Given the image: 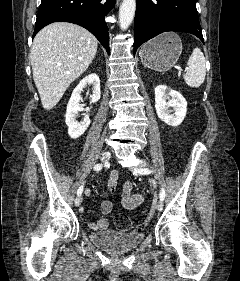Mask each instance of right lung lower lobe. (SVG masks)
Returning <instances> with one entry per match:
<instances>
[{
  "label": "right lung lower lobe",
  "mask_w": 240,
  "mask_h": 281,
  "mask_svg": "<svg viewBox=\"0 0 240 281\" xmlns=\"http://www.w3.org/2000/svg\"><path fill=\"white\" fill-rule=\"evenodd\" d=\"M113 0H41L33 37L46 25L65 21L89 30L109 53V33L104 21Z\"/></svg>",
  "instance_id": "right-lung-lower-lobe-1"
}]
</instances>
